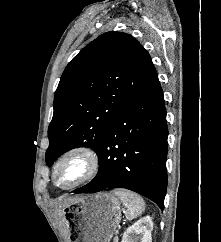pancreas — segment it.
I'll list each match as a JSON object with an SVG mask.
<instances>
[{
	"mask_svg": "<svg viewBox=\"0 0 221 242\" xmlns=\"http://www.w3.org/2000/svg\"><path fill=\"white\" fill-rule=\"evenodd\" d=\"M114 240H115L114 242H117L118 238H115Z\"/></svg>",
	"mask_w": 221,
	"mask_h": 242,
	"instance_id": "cf45deb5",
	"label": "pancreas"
}]
</instances>
